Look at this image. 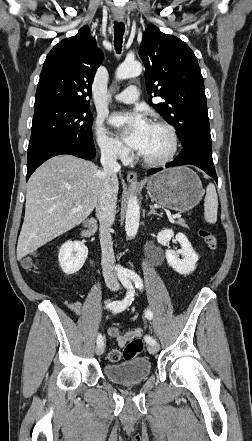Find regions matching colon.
I'll return each instance as SVG.
<instances>
[{"label": "colon", "mask_w": 252, "mask_h": 441, "mask_svg": "<svg viewBox=\"0 0 252 441\" xmlns=\"http://www.w3.org/2000/svg\"><path fill=\"white\" fill-rule=\"evenodd\" d=\"M199 235L210 249L216 248L217 239L212 232L206 229H201L199 230ZM22 264L26 269H31L35 265L34 260L31 257L23 259ZM142 350L143 341L140 337H136L131 340L122 351H119L118 349H112L108 353V360L111 362H118L122 358L126 360L131 359L139 355Z\"/></svg>", "instance_id": "colon-1"}]
</instances>
